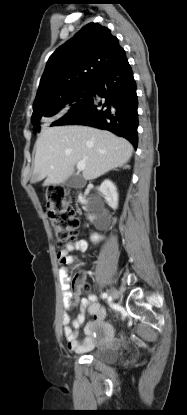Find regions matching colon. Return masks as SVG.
<instances>
[{
    "label": "colon",
    "mask_w": 187,
    "mask_h": 415,
    "mask_svg": "<svg viewBox=\"0 0 187 415\" xmlns=\"http://www.w3.org/2000/svg\"><path fill=\"white\" fill-rule=\"evenodd\" d=\"M48 215L54 228L57 243L60 246L69 244L77 235L80 219L72 206V196L62 185H51L48 189ZM64 263H67L64 261ZM76 282L73 285L75 290Z\"/></svg>",
    "instance_id": "1"
}]
</instances>
